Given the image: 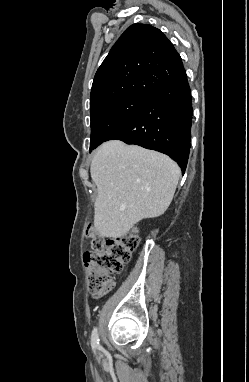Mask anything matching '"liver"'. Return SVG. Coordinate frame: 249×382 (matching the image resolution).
<instances>
[{"label":"liver","mask_w":249,"mask_h":382,"mask_svg":"<svg viewBox=\"0 0 249 382\" xmlns=\"http://www.w3.org/2000/svg\"><path fill=\"white\" fill-rule=\"evenodd\" d=\"M90 173L98 191L94 226L107 238L124 236L142 219L161 216L181 175L168 156L119 140L99 147Z\"/></svg>","instance_id":"6515ba94"}]
</instances>
